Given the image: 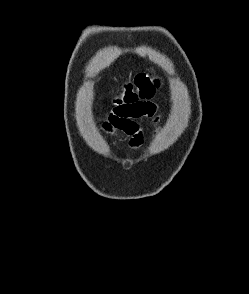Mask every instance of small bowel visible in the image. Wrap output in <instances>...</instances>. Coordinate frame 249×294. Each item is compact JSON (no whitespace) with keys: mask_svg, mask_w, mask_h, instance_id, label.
<instances>
[{"mask_svg":"<svg viewBox=\"0 0 249 294\" xmlns=\"http://www.w3.org/2000/svg\"><path fill=\"white\" fill-rule=\"evenodd\" d=\"M143 118H151L156 133H159L161 116L158 106L153 102H134L116 105L107 112L101 127L106 132L120 133L128 136L130 146L138 148L143 143L141 126L138 121Z\"/></svg>","mask_w":249,"mask_h":294,"instance_id":"small-bowel-1","label":"small bowel"}]
</instances>
